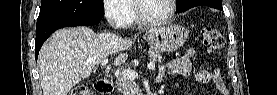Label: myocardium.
<instances>
[{
    "mask_svg": "<svg viewBox=\"0 0 277 95\" xmlns=\"http://www.w3.org/2000/svg\"><path fill=\"white\" fill-rule=\"evenodd\" d=\"M144 0H134V12L137 20L146 26H160L167 24L171 21L172 17L174 16L176 10V1L175 0H167L169 3V13L165 18L162 19H149L142 15L141 13V3Z\"/></svg>",
    "mask_w": 277,
    "mask_h": 95,
    "instance_id": "1",
    "label": "myocardium"
}]
</instances>
